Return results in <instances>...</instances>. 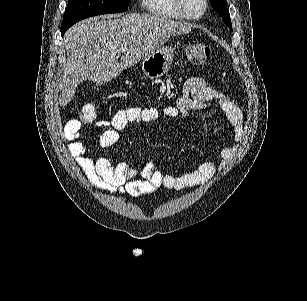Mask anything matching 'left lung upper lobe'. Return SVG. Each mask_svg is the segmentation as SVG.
Here are the masks:
<instances>
[{"mask_svg":"<svg viewBox=\"0 0 307 301\" xmlns=\"http://www.w3.org/2000/svg\"><path fill=\"white\" fill-rule=\"evenodd\" d=\"M215 12L222 16L223 22L232 30L230 14L227 12L226 0H209Z\"/></svg>","mask_w":307,"mask_h":301,"instance_id":"5c2ea615","label":"left lung upper lobe"}]
</instances>
